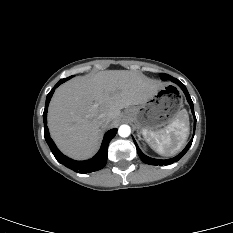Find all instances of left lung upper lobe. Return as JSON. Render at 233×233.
Masks as SVG:
<instances>
[{
    "label": "left lung upper lobe",
    "instance_id": "obj_1",
    "mask_svg": "<svg viewBox=\"0 0 233 233\" xmlns=\"http://www.w3.org/2000/svg\"><path fill=\"white\" fill-rule=\"evenodd\" d=\"M160 77L163 79V80H167V79H170L171 76L170 75H167V74H160Z\"/></svg>",
    "mask_w": 233,
    "mask_h": 233
}]
</instances>
